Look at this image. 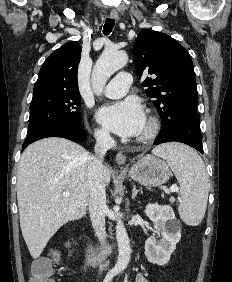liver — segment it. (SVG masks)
<instances>
[{
	"label": "liver",
	"instance_id": "liver-1",
	"mask_svg": "<svg viewBox=\"0 0 232 282\" xmlns=\"http://www.w3.org/2000/svg\"><path fill=\"white\" fill-rule=\"evenodd\" d=\"M89 156L82 146L56 137L34 142L21 155L16 185L20 227L34 259L62 225L86 214ZM103 176L108 184V167Z\"/></svg>",
	"mask_w": 232,
	"mask_h": 282
}]
</instances>
